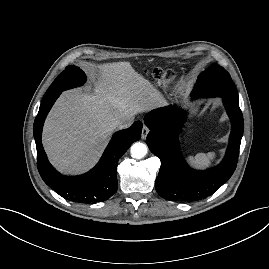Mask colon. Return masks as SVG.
<instances>
[{"instance_id":"obj_1","label":"colon","mask_w":269,"mask_h":269,"mask_svg":"<svg viewBox=\"0 0 269 269\" xmlns=\"http://www.w3.org/2000/svg\"><path fill=\"white\" fill-rule=\"evenodd\" d=\"M158 76H159V77H162V76H163V74H162V73H160Z\"/></svg>"}]
</instances>
